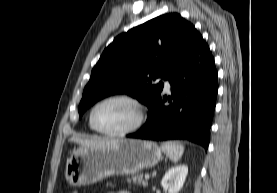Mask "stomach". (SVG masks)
<instances>
[{
	"label": "stomach",
	"instance_id": "1",
	"mask_svg": "<svg viewBox=\"0 0 277 193\" xmlns=\"http://www.w3.org/2000/svg\"><path fill=\"white\" fill-rule=\"evenodd\" d=\"M161 159V148L148 140L118 139L101 148L81 146L67 159L65 178L70 186L89 185L114 175L136 174Z\"/></svg>",
	"mask_w": 277,
	"mask_h": 193
}]
</instances>
